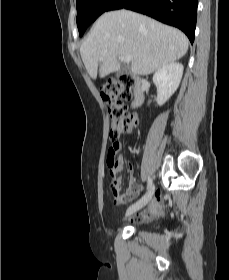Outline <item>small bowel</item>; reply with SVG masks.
Here are the masks:
<instances>
[{
	"mask_svg": "<svg viewBox=\"0 0 229 280\" xmlns=\"http://www.w3.org/2000/svg\"><path fill=\"white\" fill-rule=\"evenodd\" d=\"M123 170V158L119 157L116 160V163L112 169H110V190L112 193L113 203L117 206L123 205L126 202L137 197L141 190L142 186L138 185L134 181L132 175V167H129V177L127 181V189L124 192L120 191V177L119 174ZM154 193V192H153ZM154 195V194H153ZM150 199V203L147 208L143 209L137 216L134 217L135 221H145L156 216H160L163 212L161 205V200L159 194L153 196Z\"/></svg>",
	"mask_w": 229,
	"mask_h": 280,
	"instance_id": "1",
	"label": "small bowel"
}]
</instances>
